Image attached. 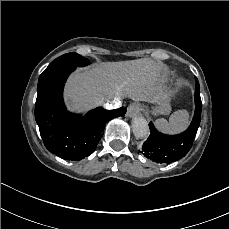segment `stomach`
<instances>
[{"label":"stomach","mask_w":229,"mask_h":229,"mask_svg":"<svg viewBox=\"0 0 229 229\" xmlns=\"http://www.w3.org/2000/svg\"><path fill=\"white\" fill-rule=\"evenodd\" d=\"M157 109L161 112V113H167L169 112V106L166 104L163 105H158L156 104Z\"/></svg>","instance_id":"1"}]
</instances>
